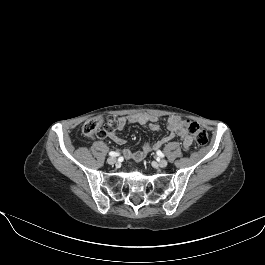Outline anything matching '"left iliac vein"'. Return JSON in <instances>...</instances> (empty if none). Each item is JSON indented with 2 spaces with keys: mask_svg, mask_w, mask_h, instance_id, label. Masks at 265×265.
<instances>
[{
  "mask_svg": "<svg viewBox=\"0 0 265 265\" xmlns=\"http://www.w3.org/2000/svg\"><path fill=\"white\" fill-rule=\"evenodd\" d=\"M158 165L161 168H165L168 165V162L165 159H161V160L158 161Z\"/></svg>",
  "mask_w": 265,
  "mask_h": 265,
  "instance_id": "4c4485c4",
  "label": "left iliac vein"
}]
</instances>
